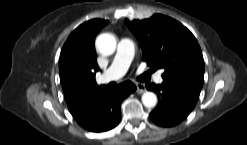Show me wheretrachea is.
<instances>
[{
  "mask_svg": "<svg viewBox=\"0 0 247 145\" xmlns=\"http://www.w3.org/2000/svg\"><path fill=\"white\" fill-rule=\"evenodd\" d=\"M146 76H147V77H149V76H150V72H149V73H147V74H146Z\"/></svg>",
  "mask_w": 247,
  "mask_h": 145,
  "instance_id": "1",
  "label": "trachea"
}]
</instances>
